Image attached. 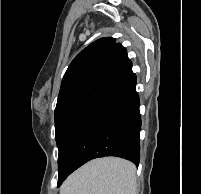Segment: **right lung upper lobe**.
<instances>
[{
  "label": "right lung upper lobe",
  "mask_w": 201,
  "mask_h": 194,
  "mask_svg": "<svg viewBox=\"0 0 201 194\" xmlns=\"http://www.w3.org/2000/svg\"><path fill=\"white\" fill-rule=\"evenodd\" d=\"M132 63L126 49L111 37L101 38L82 50L64 74L57 106L68 101L100 95L129 76Z\"/></svg>",
  "instance_id": "1"
}]
</instances>
